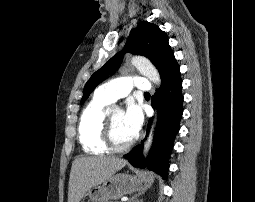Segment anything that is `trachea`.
<instances>
[{"label": "trachea", "mask_w": 255, "mask_h": 202, "mask_svg": "<svg viewBox=\"0 0 255 202\" xmlns=\"http://www.w3.org/2000/svg\"><path fill=\"white\" fill-rule=\"evenodd\" d=\"M144 95L145 96H150V94L148 92H145Z\"/></svg>", "instance_id": "trachea-1"}]
</instances>
